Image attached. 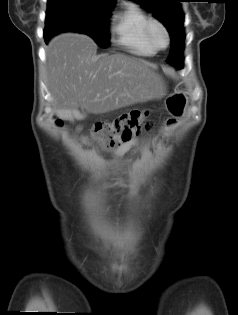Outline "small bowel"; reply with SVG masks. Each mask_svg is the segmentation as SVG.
<instances>
[{
  "instance_id": "1",
  "label": "small bowel",
  "mask_w": 238,
  "mask_h": 315,
  "mask_svg": "<svg viewBox=\"0 0 238 315\" xmlns=\"http://www.w3.org/2000/svg\"><path fill=\"white\" fill-rule=\"evenodd\" d=\"M139 144V139L134 138L126 143H122L116 147L114 150V156L120 157L122 156L126 151H128L130 148L136 146Z\"/></svg>"
}]
</instances>
